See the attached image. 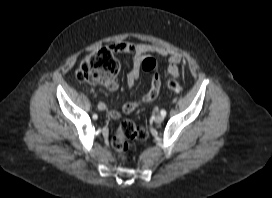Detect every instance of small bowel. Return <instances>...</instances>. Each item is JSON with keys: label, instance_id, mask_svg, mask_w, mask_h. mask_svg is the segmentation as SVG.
Instances as JSON below:
<instances>
[{"label": "small bowel", "instance_id": "obj_1", "mask_svg": "<svg viewBox=\"0 0 272 198\" xmlns=\"http://www.w3.org/2000/svg\"><path fill=\"white\" fill-rule=\"evenodd\" d=\"M113 49L120 54H132V66L126 76L127 88H132L135 85L139 77L142 61L149 54H156L167 58V67L165 70L166 76L172 78H178L180 76L182 56L179 53L172 52L158 45L147 43L119 42L113 45ZM149 75L151 77V85L149 90L141 97L124 103L122 106L123 113H131L141 104L150 102L156 98L162 85V79L158 74V71H154ZM105 88L110 91H116L118 88V83L115 80H110L109 82L105 83ZM120 115V111L115 109L108 112V117L110 119H118Z\"/></svg>", "mask_w": 272, "mask_h": 198}]
</instances>
